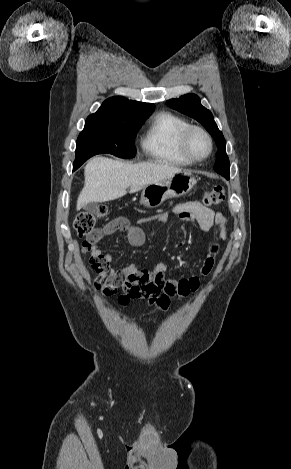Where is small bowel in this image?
Returning <instances> with one entry per match:
<instances>
[{
    "label": "small bowel",
    "instance_id": "obj_1",
    "mask_svg": "<svg viewBox=\"0 0 291 469\" xmlns=\"http://www.w3.org/2000/svg\"><path fill=\"white\" fill-rule=\"evenodd\" d=\"M172 212L185 224L197 222L204 231L216 228L218 238L220 240L227 239V218L222 213L213 211L199 201L180 203L173 208ZM167 217V213H160L140 218L135 224H131L125 217H116L106 225L105 230L106 234L117 231L125 232L129 244L139 247L145 242L143 226L154 222H165ZM185 244L186 241L182 238L177 241L175 247L182 248ZM89 251L91 257L100 258L106 264V269L103 272H98V276L94 279L95 286L100 285L97 288L101 289L105 296H110L118 288H121L123 298L131 296L134 300L137 297H157L159 299L160 295H167L169 300V297H186L198 290L200 277L208 276L214 268L218 244L216 240L209 243L207 254L200 264L198 275L179 279L165 278L166 266L163 263L156 265L153 269L139 268L130 264L116 270L109 267L112 261L111 255L103 253L96 244H93ZM150 287H153L155 291H150Z\"/></svg>",
    "mask_w": 291,
    "mask_h": 469
}]
</instances>
